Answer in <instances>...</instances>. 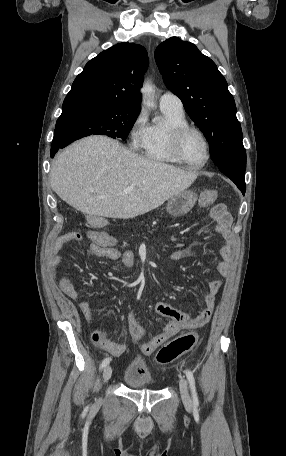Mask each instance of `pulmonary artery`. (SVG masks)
Masks as SVG:
<instances>
[{"instance_id": "e3ab8cb5", "label": "pulmonary artery", "mask_w": 286, "mask_h": 456, "mask_svg": "<svg viewBox=\"0 0 286 456\" xmlns=\"http://www.w3.org/2000/svg\"><path fill=\"white\" fill-rule=\"evenodd\" d=\"M159 104L161 108H166L177 112L184 111L181 99L171 92L163 93L160 97Z\"/></svg>"}]
</instances>
